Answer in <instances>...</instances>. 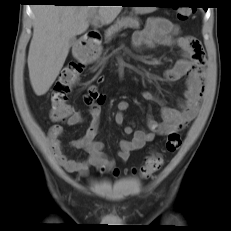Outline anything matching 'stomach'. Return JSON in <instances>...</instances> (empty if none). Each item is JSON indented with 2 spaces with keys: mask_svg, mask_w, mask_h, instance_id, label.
Returning a JSON list of instances; mask_svg holds the SVG:
<instances>
[{
  "mask_svg": "<svg viewBox=\"0 0 231 231\" xmlns=\"http://www.w3.org/2000/svg\"><path fill=\"white\" fill-rule=\"evenodd\" d=\"M136 3H139V4H157L159 2L156 0H138V1H136ZM156 8L157 7H133L134 12L136 14L150 13V12L155 11ZM100 54H101V47H100V45H96L95 47L92 48V50H90L86 54L84 59L87 62H93L99 58Z\"/></svg>",
  "mask_w": 231,
  "mask_h": 231,
  "instance_id": "0dacf381",
  "label": "stomach"
}]
</instances>
